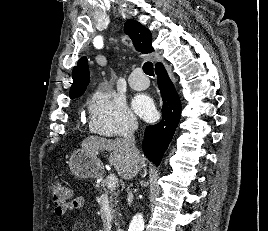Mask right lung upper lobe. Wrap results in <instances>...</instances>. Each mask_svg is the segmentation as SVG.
Here are the masks:
<instances>
[{
  "label": "right lung upper lobe",
  "instance_id": "cb5924a9",
  "mask_svg": "<svg viewBox=\"0 0 268 231\" xmlns=\"http://www.w3.org/2000/svg\"><path fill=\"white\" fill-rule=\"evenodd\" d=\"M125 33L132 39L136 50L142 53H150L152 47V36L150 31L135 20H128L124 24ZM161 63L156 64V67ZM73 84L70 89V98L81 96L89 83V69L87 58L82 57L72 72Z\"/></svg>",
  "mask_w": 268,
  "mask_h": 231
}]
</instances>
